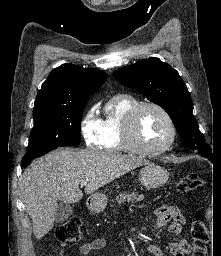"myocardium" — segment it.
<instances>
[{
    "label": "myocardium",
    "instance_id": "myocardium-1",
    "mask_svg": "<svg viewBox=\"0 0 221 256\" xmlns=\"http://www.w3.org/2000/svg\"><path fill=\"white\" fill-rule=\"evenodd\" d=\"M151 107L158 110L166 119L169 127L168 140L158 148H148L140 140L138 135V118L141 112ZM177 136L175 122L171 114L160 104L153 101L140 102L134 106L128 113L123 129V137L127 145L134 150V152L145 156H157L165 153L174 144Z\"/></svg>",
    "mask_w": 221,
    "mask_h": 256
}]
</instances>
